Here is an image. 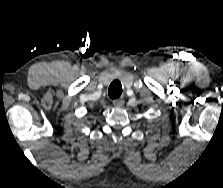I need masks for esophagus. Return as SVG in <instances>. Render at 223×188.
<instances>
[{"mask_svg": "<svg viewBox=\"0 0 223 188\" xmlns=\"http://www.w3.org/2000/svg\"><path fill=\"white\" fill-rule=\"evenodd\" d=\"M113 105L115 107H122L124 105V99L120 98V99L114 100Z\"/></svg>", "mask_w": 223, "mask_h": 188, "instance_id": "34e87169", "label": "esophagus"}]
</instances>
